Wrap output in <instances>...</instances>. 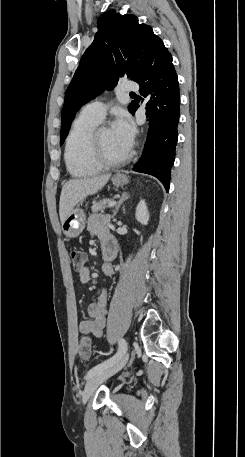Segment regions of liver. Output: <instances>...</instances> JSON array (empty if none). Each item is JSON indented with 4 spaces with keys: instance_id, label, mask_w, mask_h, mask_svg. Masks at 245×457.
<instances>
[{
    "instance_id": "6515ba94",
    "label": "liver",
    "mask_w": 245,
    "mask_h": 457,
    "mask_svg": "<svg viewBox=\"0 0 245 457\" xmlns=\"http://www.w3.org/2000/svg\"><path fill=\"white\" fill-rule=\"evenodd\" d=\"M111 174H99L92 178H72L63 184L60 196L59 214L61 222H64L69 212L74 206L83 200L88 194L98 192L106 182H108Z\"/></svg>"
}]
</instances>
